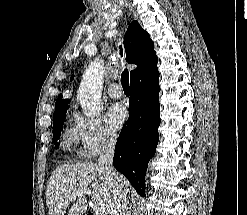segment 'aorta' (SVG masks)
I'll return each mask as SVG.
<instances>
[{"label": "aorta", "instance_id": "obj_1", "mask_svg": "<svg viewBox=\"0 0 247 215\" xmlns=\"http://www.w3.org/2000/svg\"><path fill=\"white\" fill-rule=\"evenodd\" d=\"M104 66L101 60L96 59L86 69L77 99L80 101L85 116L92 118L101 111V92L103 84Z\"/></svg>", "mask_w": 247, "mask_h": 215}]
</instances>
